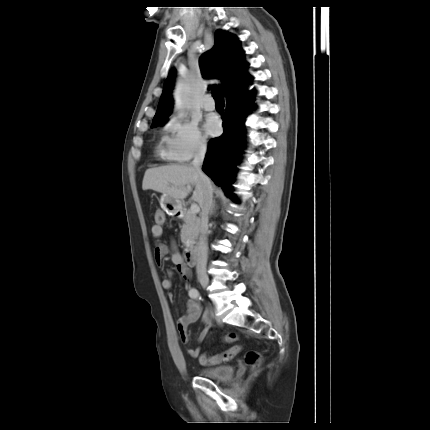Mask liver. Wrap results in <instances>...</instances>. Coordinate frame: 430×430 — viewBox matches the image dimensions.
<instances>
[{
	"label": "liver",
	"instance_id": "6515ba94",
	"mask_svg": "<svg viewBox=\"0 0 430 430\" xmlns=\"http://www.w3.org/2000/svg\"><path fill=\"white\" fill-rule=\"evenodd\" d=\"M194 185L192 199L199 205L203 195V187L197 170L190 165H164L145 171L142 189H152L166 194L170 198L183 200L189 194L185 186Z\"/></svg>",
	"mask_w": 430,
	"mask_h": 430
}]
</instances>
